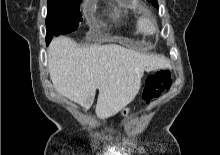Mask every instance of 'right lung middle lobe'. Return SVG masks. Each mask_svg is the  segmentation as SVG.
Returning a JSON list of instances; mask_svg holds the SVG:
<instances>
[{
	"label": "right lung middle lobe",
	"mask_w": 220,
	"mask_h": 155,
	"mask_svg": "<svg viewBox=\"0 0 220 155\" xmlns=\"http://www.w3.org/2000/svg\"><path fill=\"white\" fill-rule=\"evenodd\" d=\"M81 0H48L46 17V42L49 44L53 36L75 31L82 21L79 11Z\"/></svg>",
	"instance_id": "right-lung-middle-lobe-1"
}]
</instances>
